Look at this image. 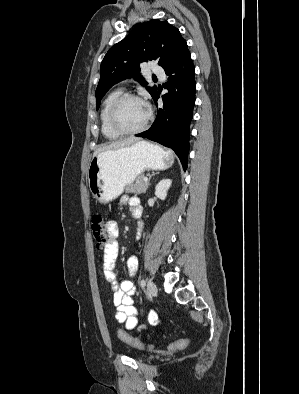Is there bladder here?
Returning <instances> with one entry per match:
<instances>
[{"mask_svg":"<svg viewBox=\"0 0 299 394\" xmlns=\"http://www.w3.org/2000/svg\"><path fill=\"white\" fill-rule=\"evenodd\" d=\"M154 359V357L153 356H151V355H146V356H144V357H142V360L143 361H151V360H153Z\"/></svg>","mask_w":299,"mask_h":394,"instance_id":"bladder-1","label":"bladder"}]
</instances>
